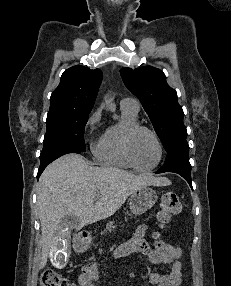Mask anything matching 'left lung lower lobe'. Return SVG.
Returning <instances> with one entry per match:
<instances>
[{
	"mask_svg": "<svg viewBox=\"0 0 231 286\" xmlns=\"http://www.w3.org/2000/svg\"><path fill=\"white\" fill-rule=\"evenodd\" d=\"M189 146L186 140L173 143L167 149V157L163 167L156 173L174 172L181 175L187 180L192 188L191 183V166L189 163Z\"/></svg>",
	"mask_w": 231,
	"mask_h": 286,
	"instance_id": "obj_1",
	"label": "left lung lower lobe"
}]
</instances>
